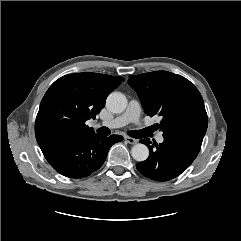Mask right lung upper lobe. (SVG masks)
Returning a JSON list of instances; mask_svg holds the SVG:
<instances>
[{
    "label": "right lung upper lobe",
    "mask_w": 241,
    "mask_h": 241,
    "mask_svg": "<svg viewBox=\"0 0 241 241\" xmlns=\"http://www.w3.org/2000/svg\"><path fill=\"white\" fill-rule=\"evenodd\" d=\"M124 79L99 73H74L56 80L45 93L35 121L40 148L74 137L95 134L85 122L105 106L107 96Z\"/></svg>",
    "instance_id": "right-lung-upper-lobe-1"
}]
</instances>
